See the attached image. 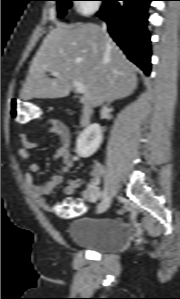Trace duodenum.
<instances>
[{
  "label": "duodenum",
  "instance_id": "410a0bca",
  "mask_svg": "<svg viewBox=\"0 0 180 299\" xmlns=\"http://www.w3.org/2000/svg\"><path fill=\"white\" fill-rule=\"evenodd\" d=\"M92 118V108L90 105L86 104L82 108L81 116H80V123L83 127H86L90 124Z\"/></svg>",
  "mask_w": 180,
  "mask_h": 299
}]
</instances>
